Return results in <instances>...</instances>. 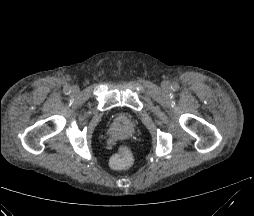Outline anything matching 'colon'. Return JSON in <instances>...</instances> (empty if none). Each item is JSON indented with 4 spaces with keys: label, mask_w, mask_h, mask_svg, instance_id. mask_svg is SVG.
I'll list each match as a JSON object with an SVG mask.
<instances>
[{
    "label": "colon",
    "mask_w": 254,
    "mask_h": 216,
    "mask_svg": "<svg viewBox=\"0 0 254 216\" xmlns=\"http://www.w3.org/2000/svg\"><path fill=\"white\" fill-rule=\"evenodd\" d=\"M132 163L131 150L127 142L119 144L118 152L110 159V166L115 170L128 168Z\"/></svg>",
    "instance_id": "1"
}]
</instances>
